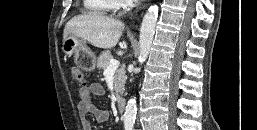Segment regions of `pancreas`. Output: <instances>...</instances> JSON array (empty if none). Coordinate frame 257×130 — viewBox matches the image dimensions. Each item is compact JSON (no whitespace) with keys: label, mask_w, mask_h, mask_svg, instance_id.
<instances>
[{"label":"pancreas","mask_w":257,"mask_h":130,"mask_svg":"<svg viewBox=\"0 0 257 130\" xmlns=\"http://www.w3.org/2000/svg\"><path fill=\"white\" fill-rule=\"evenodd\" d=\"M113 59L114 57L111 55L110 51H104L97 60V67L105 71L110 64V61ZM125 81V67L122 66L121 68L116 70L114 74V89L117 97H119L120 94L123 92Z\"/></svg>","instance_id":"1"}]
</instances>
